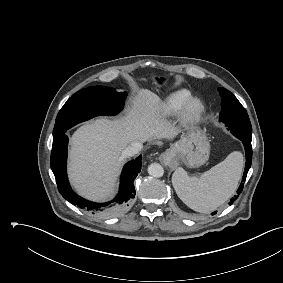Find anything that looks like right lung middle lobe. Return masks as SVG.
<instances>
[{
    "label": "right lung middle lobe",
    "instance_id": "dd1d6c3e",
    "mask_svg": "<svg viewBox=\"0 0 283 283\" xmlns=\"http://www.w3.org/2000/svg\"><path fill=\"white\" fill-rule=\"evenodd\" d=\"M126 92H116L103 86L82 89L72 95L59 111L53 139L60 137L67 129L99 115H115L122 110Z\"/></svg>",
    "mask_w": 283,
    "mask_h": 283
}]
</instances>
